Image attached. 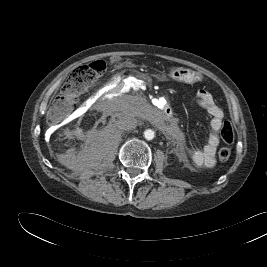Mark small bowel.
Masks as SVG:
<instances>
[{
	"instance_id": "c3829d8e",
	"label": "small bowel",
	"mask_w": 267,
	"mask_h": 267,
	"mask_svg": "<svg viewBox=\"0 0 267 267\" xmlns=\"http://www.w3.org/2000/svg\"><path fill=\"white\" fill-rule=\"evenodd\" d=\"M196 104L205 110L210 116L211 134L207 144L203 149H192L188 154H182L184 159H188L190 165L194 168L210 169L215 165V154L220 144L218 131L222 127L224 112L218 106L212 94L206 89H199L195 95Z\"/></svg>"
}]
</instances>
